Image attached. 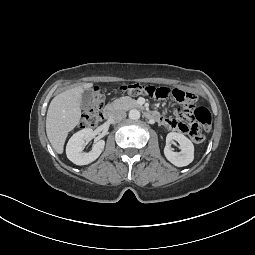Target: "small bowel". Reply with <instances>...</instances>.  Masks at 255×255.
Masks as SVG:
<instances>
[{
    "label": "small bowel",
    "mask_w": 255,
    "mask_h": 255,
    "mask_svg": "<svg viewBox=\"0 0 255 255\" xmlns=\"http://www.w3.org/2000/svg\"><path fill=\"white\" fill-rule=\"evenodd\" d=\"M180 118H169L161 117L159 118L160 122L170 130L178 131L181 133H187L189 128L192 126L190 119L184 117L181 113Z\"/></svg>",
    "instance_id": "obj_1"
}]
</instances>
